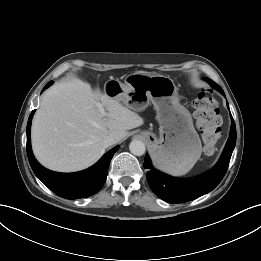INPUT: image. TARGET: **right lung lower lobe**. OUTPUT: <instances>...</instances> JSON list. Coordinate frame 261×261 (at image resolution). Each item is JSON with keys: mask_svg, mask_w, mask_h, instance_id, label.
<instances>
[{"mask_svg": "<svg viewBox=\"0 0 261 261\" xmlns=\"http://www.w3.org/2000/svg\"><path fill=\"white\" fill-rule=\"evenodd\" d=\"M52 83L50 81L43 90ZM34 112L35 110L30 114L27 123V155L35 175L51 191L66 199L85 198L97 193L106 181L110 161L119 146L108 151L97 163L84 171L67 174L50 171L39 164L31 149L30 128Z\"/></svg>", "mask_w": 261, "mask_h": 261, "instance_id": "right-lung-lower-lobe-1", "label": "right lung lower lobe"}]
</instances>
